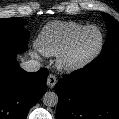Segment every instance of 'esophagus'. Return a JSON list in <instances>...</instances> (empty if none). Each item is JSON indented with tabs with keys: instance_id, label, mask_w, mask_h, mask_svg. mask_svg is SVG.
<instances>
[{
	"instance_id": "1",
	"label": "esophagus",
	"mask_w": 119,
	"mask_h": 119,
	"mask_svg": "<svg viewBox=\"0 0 119 119\" xmlns=\"http://www.w3.org/2000/svg\"><path fill=\"white\" fill-rule=\"evenodd\" d=\"M57 82V78L53 75V74H50L48 77H47V86L50 87V88H53L55 86Z\"/></svg>"
}]
</instances>
